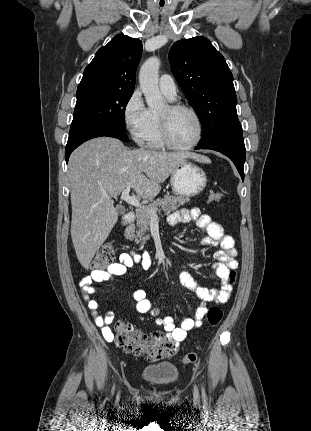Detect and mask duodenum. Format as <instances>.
I'll return each mask as SVG.
<instances>
[{
  "label": "duodenum",
  "mask_w": 311,
  "mask_h": 431,
  "mask_svg": "<svg viewBox=\"0 0 311 431\" xmlns=\"http://www.w3.org/2000/svg\"><path fill=\"white\" fill-rule=\"evenodd\" d=\"M134 219H135L134 212L133 211H128L122 217V225L123 226H128V225H130V224L133 223Z\"/></svg>",
  "instance_id": "410a0bca"
}]
</instances>
